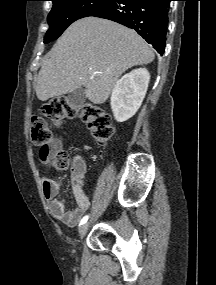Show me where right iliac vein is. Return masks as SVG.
Returning a JSON list of instances; mask_svg holds the SVG:
<instances>
[{"mask_svg": "<svg viewBox=\"0 0 216 285\" xmlns=\"http://www.w3.org/2000/svg\"><path fill=\"white\" fill-rule=\"evenodd\" d=\"M89 223H84L82 226L79 228V236L80 238H83L88 230Z\"/></svg>", "mask_w": 216, "mask_h": 285, "instance_id": "obj_1", "label": "right iliac vein"}]
</instances>
